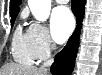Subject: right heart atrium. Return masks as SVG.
Masks as SVG:
<instances>
[{"label": "right heart atrium", "mask_w": 102, "mask_h": 75, "mask_svg": "<svg viewBox=\"0 0 102 75\" xmlns=\"http://www.w3.org/2000/svg\"><path fill=\"white\" fill-rule=\"evenodd\" d=\"M36 59H46L54 49L48 30L40 23H32L27 30Z\"/></svg>", "instance_id": "right-heart-atrium-1"}]
</instances>
